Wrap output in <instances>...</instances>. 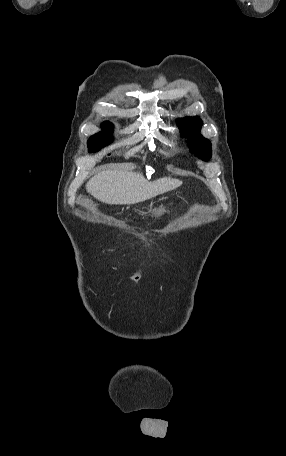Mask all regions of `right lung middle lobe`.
<instances>
[{
	"label": "right lung middle lobe",
	"instance_id": "1",
	"mask_svg": "<svg viewBox=\"0 0 286 456\" xmlns=\"http://www.w3.org/2000/svg\"><path fill=\"white\" fill-rule=\"evenodd\" d=\"M102 128L104 129V132L95 134L88 140V147L90 152L98 151L102 147L110 144V132L112 131V124L110 122H104L102 124Z\"/></svg>",
	"mask_w": 286,
	"mask_h": 456
}]
</instances>
